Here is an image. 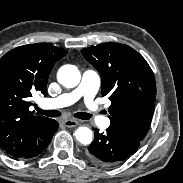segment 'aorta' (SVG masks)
I'll return each instance as SVG.
<instances>
[{"label":"aorta","instance_id":"762f6f07","mask_svg":"<svg viewBox=\"0 0 183 183\" xmlns=\"http://www.w3.org/2000/svg\"><path fill=\"white\" fill-rule=\"evenodd\" d=\"M58 82L66 88H73L80 82L81 75L74 65H63L57 73ZM75 138L78 142L88 145L93 140L92 131L88 127H79L75 131Z\"/></svg>","mask_w":183,"mask_h":183}]
</instances>
